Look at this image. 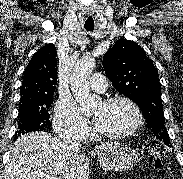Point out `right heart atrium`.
Masks as SVG:
<instances>
[{
	"mask_svg": "<svg viewBox=\"0 0 183 179\" xmlns=\"http://www.w3.org/2000/svg\"><path fill=\"white\" fill-rule=\"evenodd\" d=\"M54 128L60 136H84L89 132V123L71 99L61 98L54 109Z\"/></svg>",
	"mask_w": 183,
	"mask_h": 179,
	"instance_id": "1",
	"label": "right heart atrium"
}]
</instances>
